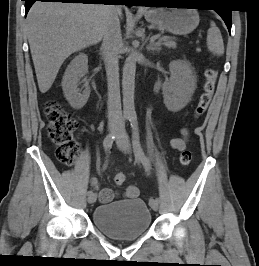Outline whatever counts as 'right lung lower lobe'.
Wrapping results in <instances>:
<instances>
[{
  "label": "right lung lower lobe",
  "instance_id": "obj_1",
  "mask_svg": "<svg viewBox=\"0 0 259 266\" xmlns=\"http://www.w3.org/2000/svg\"><path fill=\"white\" fill-rule=\"evenodd\" d=\"M25 1V14L28 13L30 7L35 1L42 2H62V3H84V4H108V3H120L125 6H131L130 0H22Z\"/></svg>",
  "mask_w": 259,
  "mask_h": 266
}]
</instances>
